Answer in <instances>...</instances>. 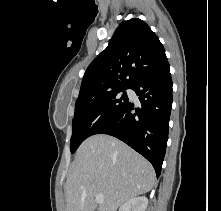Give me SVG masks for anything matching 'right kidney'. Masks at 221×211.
Wrapping results in <instances>:
<instances>
[{
    "mask_svg": "<svg viewBox=\"0 0 221 211\" xmlns=\"http://www.w3.org/2000/svg\"><path fill=\"white\" fill-rule=\"evenodd\" d=\"M147 206L148 199L145 196H138L125 202L119 211H145Z\"/></svg>",
    "mask_w": 221,
    "mask_h": 211,
    "instance_id": "ca27d5eb",
    "label": "right kidney"
}]
</instances>
